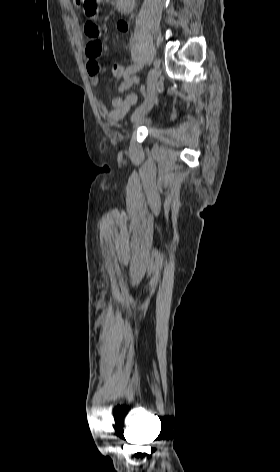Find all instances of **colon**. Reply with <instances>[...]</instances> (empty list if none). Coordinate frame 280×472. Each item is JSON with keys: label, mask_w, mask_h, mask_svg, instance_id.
<instances>
[{"label": "colon", "mask_w": 280, "mask_h": 472, "mask_svg": "<svg viewBox=\"0 0 280 472\" xmlns=\"http://www.w3.org/2000/svg\"><path fill=\"white\" fill-rule=\"evenodd\" d=\"M101 0H74L75 4L82 8L86 16L89 18H94L99 10V2ZM113 75L117 79H122L124 77L125 67L120 64L113 66Z\"/></svg>", "instance_id": "obj_1"}]
</instances>
